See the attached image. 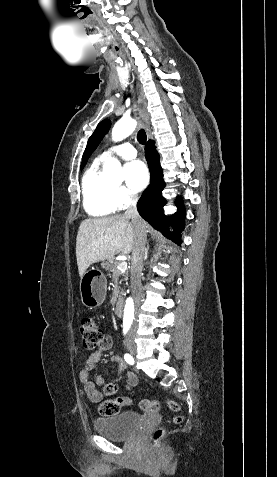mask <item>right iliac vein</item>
<instances>
[{"label":"right iliac vein","instance_id":"right-iliac-vein-1","mask_svg":"<svg viewBox=\"0 0 277 477\" xmlns=\"http://www.w3.org/2000/svg\"><path fill=\"white\" fill-rule=\"evenodd\" d=\"M127 350L132 354H136V345L133 342H126Z\"/></svg>","mask_w":277,"mask_h":477}]
</instances>
